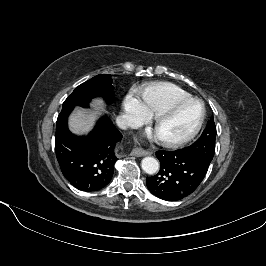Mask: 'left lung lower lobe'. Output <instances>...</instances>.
<instances>
[{
    "label": "left lung lower lobe",
    "mask_w": 266,
    "mask_h": 266,
    "mask_svg": "<svg viewBox=\"0 0 266 266\" xmlns=\"http://www.w3.org/2000/svg\"><path fill=\"white\" fill-rule=\"evenodd\" d=\"M156 156L161 169L157 175L147 177L146 185L153 195L163 200L176 201L190 195L203 181L209 167L184 149L157 151Z\"/></svg>",
    "instance_id": "0a47b994"
}]
</instances>
